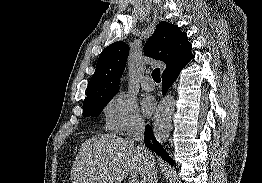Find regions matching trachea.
<instances>
[{
  "instance_id": "trachea-1",
  "label": "trachea",
  "mask_w": 262,
  "mask_h": 183,
  "mask_svg": "<svg viewBox=\"0 0 262 183\" xmlns=\"http://www.w3.org/2000/svg\"><path fill=\"white\" fill-rule=\"evenodd\" d=\"M152 78L155 82H160L161 81V77H160V69L156 68L153 70L152 72Z\"/></svg>"
}]
</instances>
